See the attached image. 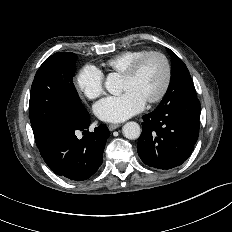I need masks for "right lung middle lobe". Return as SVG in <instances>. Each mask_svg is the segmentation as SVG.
<instances>
[{"label":"right lung middle lobe","mask_w":232,"mask_h":232,"mask_svg":"<svg viewBox=\"0 0 232 232\" xmlns=\"http://www.w3.org/2000/svg\"><path fill=\"white\" fill-rule=\"evenodd\" d=\"M77 56L55 53L38 69L30 92L29 116L39 146L61 116L82 117L87 111L73 84Z\"/></svg>","instance_id":"1"}]
</instances>
